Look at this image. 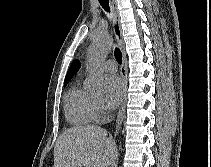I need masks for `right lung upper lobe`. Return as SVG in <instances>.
Masks as SVG:
<instances>
[{"instance_id":"cb5924a9","label":"right lung upper lobe","mask_w":211,"mask_h":167,"mask_svg":"<svg viewBox=\"0 0 211 167\" xmlns=\"http://www.w3.org/2000/svg\"><path fill=\"white\" fill-rule=\"evenodd\" d=\"M79 68H80V63H79V61H74L72 64H71V66H70V68H69V70H68V72H67V74H66V77H65V81H69L70 80V78L79 70ZM64 81V82H65Z\"/></svg>"}]
</instances>
